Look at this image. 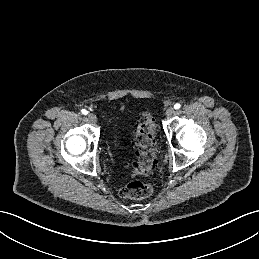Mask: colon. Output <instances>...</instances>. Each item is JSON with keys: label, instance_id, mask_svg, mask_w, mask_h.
<instances>
[{"label": "colon", "instance_id": "obj_1", "mask_svg": "<svg viewBox=\"0 0 259 259\" xmlns=\"http://www.w3.org/2000/svg\"><path fill=\"white\" fill-rule=\"evenodd\" d=\"M157 125L155 119L147 111L140 119L134 133V145L138 155V163L132 166L134 174L148 176L157 162L156 151ZM153 192L149 182L132 181L119 191L125 199L139 200L148 197Z\"/></svg>", "mask_w": 259, "mask_h": 259}]
</instances>
